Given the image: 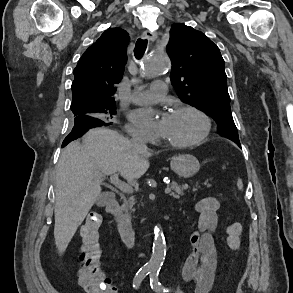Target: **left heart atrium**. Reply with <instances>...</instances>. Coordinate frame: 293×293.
<instances>
[{
  "label": "left heart atrium",
  "instance_id": "obj_1",
  "mask_svg": "<svg viewBox=\"0 0 293 293\" xmlns=\"http://www.w3.org/2000/svg\"><path fill=\"white\" fill-rule=\"evenodd\" d=\"M132 119L141 127L163 135L167 127L169 115L163 114L157 118V113L151 109H138L132 113Z\"/></svg>",
  "mask_w": 293,
  "mask_h": 293
}]
</instances>
